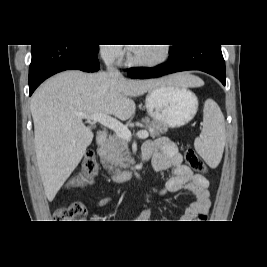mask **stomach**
<instances>
[{"label": "stomach", "mask_w": 267, "mask_h": 267, "mask_svg": "<svg viewBox=\"0 0 267 267\" xmlns=\"http://www.w3.org/2000/svg\"><path fill=\"white\" fill-rule=\"evenodd\" d=\"M145 105L149 116L156 123L176 128L194 118L198 99L187 87L165 85L149 90Z\"/></svg>", "instance_id": "1"}]
</instances>
